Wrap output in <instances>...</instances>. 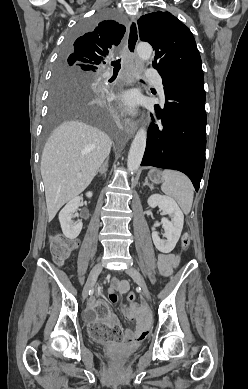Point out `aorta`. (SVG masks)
Wrapping results in <instances>:
<instances>
[{
    "mask_svg": "<svg viewBox=\"0 0 248 389\" xmlns=\"http://www.w3.org/2000/svg\"><path fill=\"white\" fill-rule=\"evenodd\" d=\"M137 53L141 60L146 61L152 56L153 50L148 43H140L137 46ZM146 139L145 129H139L133 139L127 159V167L132 174L140 167L146 147Z\"/></svg>",
    "mask_w": 248,
    "mask_h": 389,
    "instance_id": "762f6f07",
    "label": "aorta"
}]
</instances>
